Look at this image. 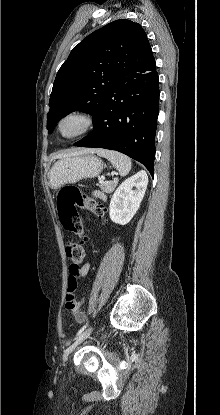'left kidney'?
Segmentation results:
<instances>
[{"label":"left kidney","instance_id":"1","mask_svg":"<svg viewBox=\"0 0 220 415\" xmlns=\"http://www.w3.org/2000/svg\"><path fill=\"white\" fill-rule=\"evenodd\" d=\"M148 184V176L145 171L126 179L114 192L110 206V219L120 225H126L133 218L144 197ZM133 188H136L133 190Z\"/></svg>","mask_w":220,"mask_h":415}]
</instances>
